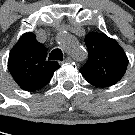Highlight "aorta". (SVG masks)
Returning a JSON list of instances; mask_svg holds the SVG:
<instances>
[{
  "label": "aorta",
  "mask_w": 135,
  "mask_h": 135,
  "mask_svg": "<svg viewBox=\"0 0 135 135\" xmlns=\"http://www.w3.org/2000/svg\"><path fill=\"white\" fill-rule=\"evenodd\" d=\"M62 48L75 60L82 61L86 58V50L68 34H62L60 39Z\"/></svg>",
  "instance_id": "obj_1"
}]
</instances>
